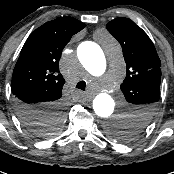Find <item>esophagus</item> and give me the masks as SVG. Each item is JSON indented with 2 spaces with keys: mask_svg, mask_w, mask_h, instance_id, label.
<instances>
[{
  "mask_svg": "<svg viewBox=\"0 0 174 174\" xmlns=\"http://www.w3.org/2000/svg\"><path fill=\"white\" fill-rule=\"evenodd\" d=\"M92 98L91 95H87V97L85 98L86 100H90Z\"/></svg>",
  "mask_w": 174,
  "mask_h": 174,
  "instance_id": "esophagus-1",
  "label": "esophagus"
}]
</instances>
